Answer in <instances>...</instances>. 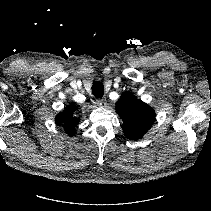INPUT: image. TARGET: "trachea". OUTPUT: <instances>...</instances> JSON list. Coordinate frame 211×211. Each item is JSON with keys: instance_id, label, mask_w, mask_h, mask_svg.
I'll return each mask as SVG.
<instances>
[{"instance_id": "trachea-1", "label": "trachea", "mask_w": 211, "mask_h": 211, "mask_svg": "<svg viewBox=\"0 0 211 211\" xmlns=\"http://www.w3.org/2000/svg\"><path fill=\"white\" fill-rule=\"evenodd\" d=\"M92 94L97 98H102L104 95V85L101 82H95L92 85Z\"/></svg>"}]
</instances>
